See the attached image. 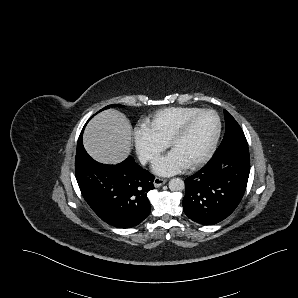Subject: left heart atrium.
<instances>
[{"label": "left heart atrium", "mask_w": 298, "mask_h": 298, "mask_svg": "<svg viewBox=\"0 0 298 298\" xmlns=\"http://www.w3.org/2000/svg\"><path fill=\"white\" fill-rule=\"evenodd\" d=\"M188 165L179 157L169 152L165 155L156 157L152 161V169L155 173L161 176H170L179 173Z\"/></svg>", "instance_id": "1"}]
</instances>
